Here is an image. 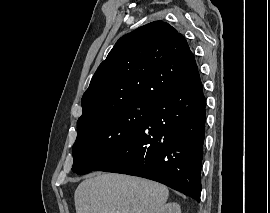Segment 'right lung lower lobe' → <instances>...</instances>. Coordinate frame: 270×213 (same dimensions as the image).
I'll return each instance as SVG.
<instances>
[{
	"label": "right lung lower lobe",
	"mask_w": 270,
	"mask_h": 213,
	"mask_svg": "<svg viewBox=\"0 0 270 213\" xmlns=\"http://www.w3.org/2000/svg\"><path fill=\"white\" fill-rule=\"evenodd\" d=\"M205 106L196 70L160 99L140 129L95 171L151 179L199 202Z\"/></svg>",
	"instance_id": "right-lung-lower-lobe-1"
}]
</instances>
